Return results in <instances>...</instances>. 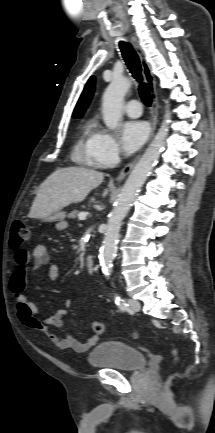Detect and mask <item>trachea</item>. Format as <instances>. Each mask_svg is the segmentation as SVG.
Here are the masks:
<instances>
[{
    "mask_svg": "<svg viewBox=\"0 0 215 433\" xmlns=\"http://www.w3.org/2000/svg\"><path fill=\"white\" fill-rule=\"evenodd\" d=\"M119 47L128 69L132 73L133 77L139 82V94L143 103L150 107L152 104V98L148 85L143 82L141 64L136 51L130 43L124 41H120Z\"/></svg>",
    "mask_w": 215,
    "mask_h": 433,
    "instance_id": "obj_1",
    "label": "trachea"
}]
</instances>
